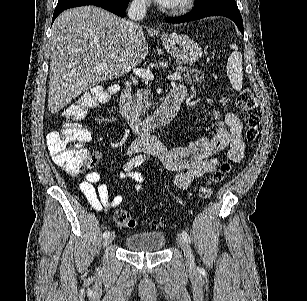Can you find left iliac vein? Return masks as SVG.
I'll return each instance as SVG.
<instances>
[{
    "label": "left iliac vein",
    "instance_id": "1",
    "mask_svg": "<svg viewBox=\"0 0 307 301\" xmlns=\"http://www.w3.org/2000/svg\"><path fill=\"white\" fill-rule=\"evenodd\" d=\"M177 240H178L180 247L182 248V250L184 252L186 265L189 268L194 269L196 267V265H195V262H194L193 252L191 250L189 243L185 240V238L181 234H178Z\"/></svg>",
    "mask_w": 307,
    "mask_h": 301
}]
</instances>
